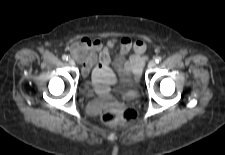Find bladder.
<instances>
[{
  "label": "bladder",
  "instance_id": "obj_1",
  "mask_svg": "<svg viewBox=\"0 0 225 155\" xmlns=\"http://www.w3.org/2000/svg\"><path fill=\"white\" fill-rule=\"evenodd\" d=\"M125 62H124V59L122 57H117L115 60H114V65H115V68L119 74L120 77H127L128 74H129V71L125 69V66H124ZM136 90L137 92L140 91V85L137 83L136 84Z\"/></svg>",
  "mask_w": 225,
  "mask_h": 155
}]
</instances>
